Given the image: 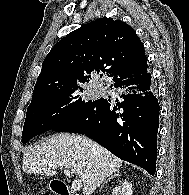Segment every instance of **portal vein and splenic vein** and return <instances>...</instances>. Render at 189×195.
Returning <instances> with one entry per match:
<instances>
[{"instance_id":"18ae733b","label":"portal vein and splenic vein","mask_w":189,"mask_h":195,"mask_svg":"<svg viewBox=\"0 0 189 195\" xmlns=\"http://www.w3.org/2000/svg\"><path fill=\"white\" fill-rule=\"evenodd\" d=\"M57 167H59V166H57V165H50V166H49L50 169H55V168H57ZM64 174H65L66 176H68L69 178L72 177V172H71L70 170H68V169H64ZM81 187H82V182H81V180H79V179H74V180L72 181V189H73L74 191L80 190Z\"/></svg>"}]
</instances>
